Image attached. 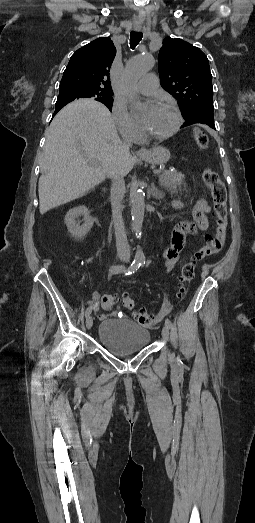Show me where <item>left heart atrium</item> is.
<instances>
[{
    "mask_svg": "<svg viewBox=\"0 0 255 523\" xmlns=\"http://www.w3.org/2000/svg\"><path fill=\"white\" fill-rule=\"evenodd\" d=\"M148 112L143 114V115H139V118L140 120L142 121V123L144 122V120L146 119V116H147Z\"/></svg>",
    "mask_w": 255,
    "mask_h": 523,
    "instance_id": "left-heart-atrium-1",
    "label": "left heart atrium"
}]
</instances>
